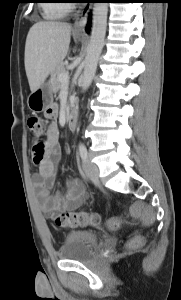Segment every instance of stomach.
<instances>
[{
	"label": "stomach",
	"instance_id": "1",
	"mask_svg": "<svg viewBox=\"0 0 181 300\" xmlns=\"http://www.w3.org/2000/svg\"><path fill=\"white\" fill-rule=\"evenodd\" d=\"M53 93L51 82H44L29 95L27 99L28 107L34 112L44 111L53 102Z\"/></svg>",
	"mask_w": 181,
	"mask_h": 300
}]
</instances>
